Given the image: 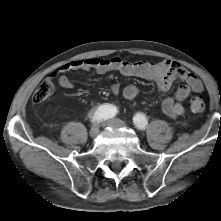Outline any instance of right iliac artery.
Instances as JSON below:
<instances>
[{
  "mask_svg": "<svg viewBox=\"0 0 221 221\" xmlns=\"http://www.w3.org/2000/svg\"><path fill=\"white\" fill-rule=\"evenodd\" d=\"M117 113L115 106L104 104L99 106L91 115L92 122H102L107 119L113 118Z\"/></svg>",
  "mask_w": 221,
  "mask_h": 221,
  "instance_id": "82829eb1",
  "label": "right iliac artery"
}]
</instances>
